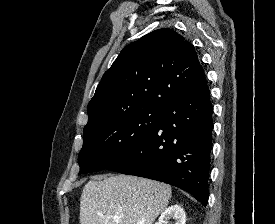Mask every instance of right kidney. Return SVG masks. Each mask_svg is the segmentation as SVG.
I'll use <instances>...</instances> for the list:
<instances>
[{
    "label": "right kidney",
    "instance_id": "ca27d5eb",
    "mask_svg": "<svg viewBox=\"0 0 275 224\" xmlns=\"http://www.w3.org/2000/svg\"><path fill=\"white\" fill-rule=\"evenodd\" d=\"M170 220H174V224L186 223V215L181 206L176 204L168 207L155 224H170Z\"/></svg>",
    "mask_w": 275,
    "mask_h": 224
}]
</instances>
